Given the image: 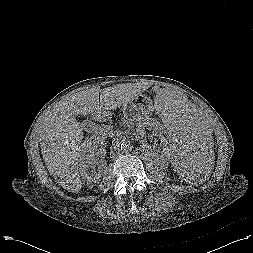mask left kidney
<instances>
[{
  "label": "left kidney",
  "mask_w": 253,
  "mask_h": 253,
  "mask_svg": "<svg viewBox=\"0 0 253 253\" xmlns=\"http://www.w3.org/2000/svg\"><path fill=\"white\" fill-rule=\"evenodd\" d=\"M146 130H152V133L159 137L160 144L162 146L163 157H166V159H171L172 154L169 147L170 140L165 127L154 119H148L137 126V134L139 137L144 138L146 135Z\"/></svg>",
  "instance_id": "1"
}]
</instances>
